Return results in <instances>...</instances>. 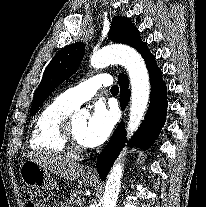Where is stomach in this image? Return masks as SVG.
<instances>
[{
  "label": "stomach",
  "mask_w": 206,
  "mask_h": 207,
  "mask_svg": "<svg viewBox=\"0 0 206 207\" xmlns=\"http://www.w3.org/2000/svg\"><path fill=\"white\" fill-rule=\"evenodd\" d=\"M20 177L29 187L45 190H53L56 187L51 173L31 159L24 161L20 165ZM84 181L90 185L96 184V180L90 177H84Z\"/></svg>",
  "instance_id": "stomach-1"
}]
</instances>
